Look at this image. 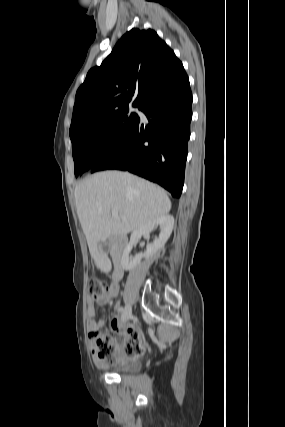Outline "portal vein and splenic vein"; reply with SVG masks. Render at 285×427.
<instances>
[{"label": "portal vein and splenic vein", "instance_id": "1", "mask_svg": "<svg viewBox=\"0 0 285 427\" xmlns=\"http://www.w3.org/2000/svg\"><path fill=\"white\" fill-rule=\"evenodd\" d=\"M112 216H113V217L118 216V212H117V211H115V210H113V211H112Z\"/></svg>", "mask_w": 285, "mask_h": 427}]
</instances>
